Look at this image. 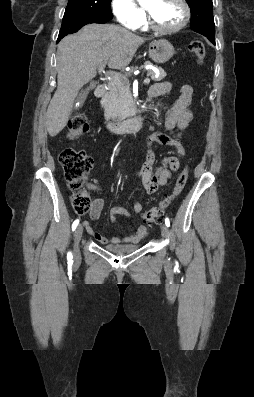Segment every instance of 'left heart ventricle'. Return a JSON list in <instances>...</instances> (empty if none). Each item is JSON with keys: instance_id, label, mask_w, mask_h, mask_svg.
<instances>
[{"instance_id": "left-heart-ventricle-1", "label": "left heart ventricle", "mask_w": 254, "mask_h": 397, "mask_svg": "<svg viewBox=\"0 0 254 397\" xmlns=\"http://www.w3.org/2000/svg\"><path fill=\"white\" fill-rule=\"evenodd\" d=\"M155 23L163 28L176 26L182 19L183 9L176 0H150L146 6Z\"/></svg>"}]
</instances>
